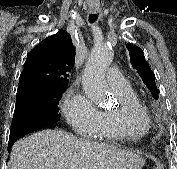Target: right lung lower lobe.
I'll return each instance as SVG.
<instances>
[{"mask_svg": "<svg viewBox=\"0 0 177 169\" xmlns=\"http://www.w3.org/2000/svg\"><path fill=\"white\" fill-rule=\"evenodd\" d=\"M55 123L56 122L41 117H23L13 119L8 142V150H10L12 145L22 136L38 129L53 128L55 127Z\"/></svg>", "mask_w": 177, "mask_h": 169, "instance_id": "obj_1", "label": "right lung lower lobe"}]
</instances>
